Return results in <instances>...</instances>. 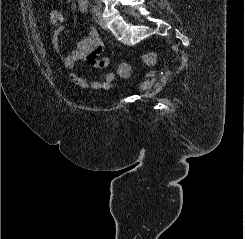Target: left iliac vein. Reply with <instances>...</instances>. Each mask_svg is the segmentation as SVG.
Segmentation results:
<instances>
[{
  "label": "left iliac vein",
  "instance_id": "obj_1",
  "mask_svg": "<svg viewBox=\"0 0 245 239\" xmlns=\"http://www.w3.org/2000/svg\"><path fill=\"white\" fill-rule=\"evenodd\" d=\"M98 24H99V26H100L102 29H104V30L107 29L106 22H105L104 18L102 17V15H100V16L98 17Z\"/></svg>",
  "mask_w": 245,
  "mask_h": 239
}]
</instances>
